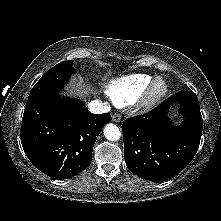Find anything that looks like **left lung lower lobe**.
<instances>
[{
    "mask_svg": "<svg viewBox=\"0 0 221 221\" xmlns=\"http://www.w3.org/2000/svg\"><path fill=\"white\" fill-rule=\"evenodd\" d=\"M179 102L185 122L174 127L166 117L170 104ZM203 119L194 92L180 91L147 114L123 122L124 158L128 169L145 179L160 181L179 173L195 156Z\"/></svg>",
    "mask_w": 221,
    "mask_h": 221,
    "instance_id": "1",
    "label": "left lung lower lobe"
}]
</instances>
